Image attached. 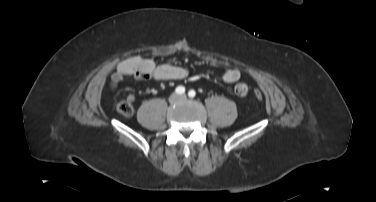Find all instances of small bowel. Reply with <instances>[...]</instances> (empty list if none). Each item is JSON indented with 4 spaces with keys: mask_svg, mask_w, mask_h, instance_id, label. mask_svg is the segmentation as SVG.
Returning <instances> with one entry per match:
<instances>
[{
    "mask_svg": "<svg viewBox=\"0 0 376 202\" xmlns=\"http://www.w3.org/2000/svg\"><path fill=\"white\" fill-rule=\"evenodd\" d=\"M188 76L189 72L185 67L168 63L157 65L149 58L134 56L125 59L118 64L111 75L110 86L112 88H117L120 83L128 77L150 79L154 81H177L184 80ZM221 78L225 83H237L241 78V72L237 68H230L222 74ZM234 91L238 96L243 97L248 93V87L244 83H238L235 86Z\"/></svg>",
    "mask_w": 376,
    "mask_h": 202,
    "instance_id": "small-bowel-1",
    "label": "small bowel"
}]
</instances>
